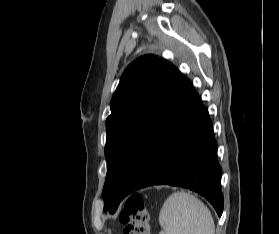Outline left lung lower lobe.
Masks as SVG:
<instances>
[{
  "label": "left lung lower lobe",
  "mask_w": 279,
  "mask_h": 234,
  "mask_svg": "<svg viewBox=\"0 0 279 234\" xmlns=\"http://www.w3.org/2000/svg\"><path fill=\"white\" fill-rule=\"evenodd\" d=\"M169 184L203 195L221 216V167L209 114L179 70L139 146L120 198L150 185Z\"/></svg>",
  "instance_id": "0a47b994"
}]
</instances>
